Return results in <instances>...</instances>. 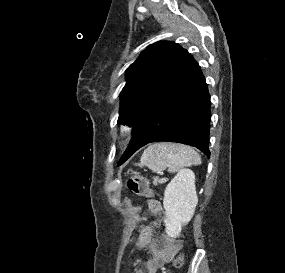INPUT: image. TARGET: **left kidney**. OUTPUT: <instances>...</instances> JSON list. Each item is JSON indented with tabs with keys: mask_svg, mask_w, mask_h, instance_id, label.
I'll return each instance as SVG.
<instances>
[{
	"mask_svg": "<svg viewBox=\"0 0 285 273\" xmlns=\"http://www.w3.org/2000/svg\"><path fill=\"white\" fill-rule=\"evenodd\" d=\"M198 198L195 175L189 169L181 170L167 185L163 205L166 233L172 238L180 235L182 226L192 219Z\"/></svg>",
	"mask_w": 285,
	"mask_h": 273,
	"instance_id": "1",
	"label": "left kidney"
}]
</instances>
